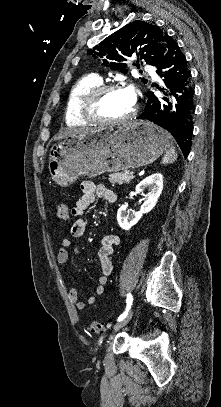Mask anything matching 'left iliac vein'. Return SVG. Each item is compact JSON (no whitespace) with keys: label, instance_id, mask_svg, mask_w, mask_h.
Returning <instances> with one entry per match:
<instances>
[{"label":"left iliac vein","instance_id":"4c4485c4","mask_svg":"<svg viewBox=\"0 0 221 407\" xmlns=\"http://www.w3.org/2000/svg\"><path fill=\"white\" fill-rule=\"evenodd\" d=\"M132 316H133V310L131 309L127 313L126 317L114 326V330L118 331V330L122 329L123 327H125L131 320Z\"/></svg>","mask_w":221,"mask_h":407}]
</instances>
